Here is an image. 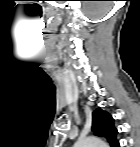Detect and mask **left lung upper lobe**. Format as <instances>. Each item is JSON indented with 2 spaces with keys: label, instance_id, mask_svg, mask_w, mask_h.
Wrapping results in <instances>:
<instances>
[{
  "label": "left lung upper lobe",
  "instance_id": "5c2ea615",
  "mask_svg": "<svg viewBox=\"0 0 140 147\" xmlns=\"http://www.w3.org/2000/svg\"><path fill=\"white\" fill-rule=\"evenodd\" d=\"M113 122L112 116L101 108L93 112L92 131L98 136L107 138L111 146L118 147L119 143L116 139L118 131Z\"/></svg>",
  "mask_w": 140,
  "mask_h": 147
}]
</instances>
